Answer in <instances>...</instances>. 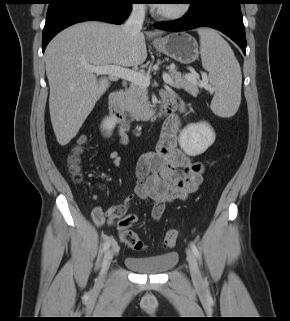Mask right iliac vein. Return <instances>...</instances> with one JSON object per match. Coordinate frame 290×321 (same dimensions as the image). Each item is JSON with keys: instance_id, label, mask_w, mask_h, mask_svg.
Here are the masks:
<instances>
[{"instance_id": "1", "label": "right iliac vein", "mask_w": 290, "mask_h": 321, "mask_svg": "<svg viewBox=\"0 0 290 321\" xmlns=\"http://www.w3.org/2000/svg\"><path fill=\"white\" fill-rule=\"evenodd\" d=\"M112 258H113V251L111 249H109L104 254V257L102 260L101 271H100L99 278H98L99 285H102L103 282L105 281L106 274H107L108 268L110 266V263L112 261Z\"/></svg>"}]
</instances>
